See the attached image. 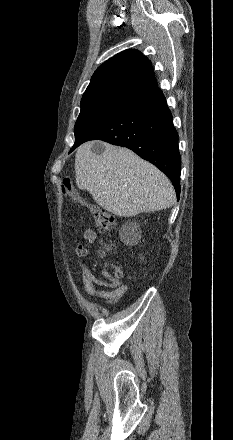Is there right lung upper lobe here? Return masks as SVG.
I'll use <instances>...</instances> for the list:
<instances>
[{"label": "right lung upper lobe", "mask_w": 233, "mask_h": 440, "mask_svg": "<svg viewBox=\"0 0 233 440\" xmlns=\"http://www.w3.org/2000/svg\"><path fill=\"white\" fill-rule=\"evenodd\" d=\"M157 88L150 60L138 50L118 53L93 74L81 102L111 100L128 103Z\"/></svg>", "instance_id": "right-lung-upper-lobe-1"}]
</instances>
